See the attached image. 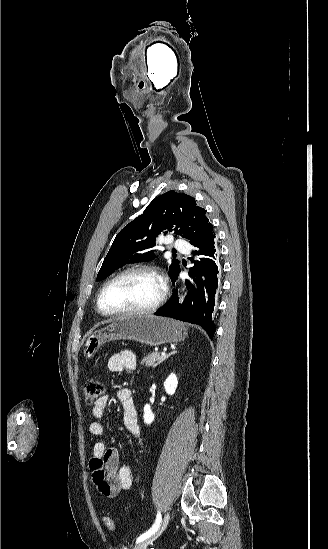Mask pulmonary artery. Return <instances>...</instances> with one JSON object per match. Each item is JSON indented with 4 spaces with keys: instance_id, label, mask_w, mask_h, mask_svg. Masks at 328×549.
Returning a JSON list of instances; mask_svg holds the SVG:
<instances>
[{
    "instance_id": "pulmonary-artery-1",
    "label": "pulmonary artery",
    "mask_w": 328,
    "mask_h": 549,
    "mask_svg": "<svg viewBox=\"0 0 328 549\" xmlns=\"http://www.w3.org/2000/svg\"><path fill=\"white\" fill-rule=\"evenodd\" d=\"M169 248L172 252H182L184 249V244L182 241H172Z\"/></svg>"
}]
</instances>
